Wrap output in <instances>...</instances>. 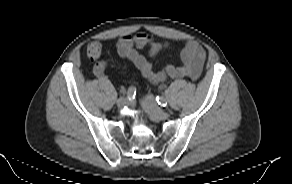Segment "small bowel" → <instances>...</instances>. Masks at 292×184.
Returning <instances> with one entry per match:
<instances>
[{
    "label": "small bowel",
    "instance_id": "c3829d8e",
    "mask_svg": "<svg viewBox=\"0 0 292 184\" xmlns=\"http://www.w3.org/2000/svg\"><path fill=\"white\" fill-rule=\"evenodd\" d=\"M149 47V55L155 56L165 49L168 45L152 40V38L143 32L135 35H125L118 39L116 48L118 55L130 62L140 73L151 83H163L168 77L180 79L189 77L193 80L199 78L206 53L203 47L194 41L185 43L181 51V65L168 64L161 71H154L152 63L138 49ZM108 67L107 61H99L94 65L93 73L97 77H103Z\"/></svg>",
    "mask_w": 292,
    "mask_h": 184
}]
</instances>
